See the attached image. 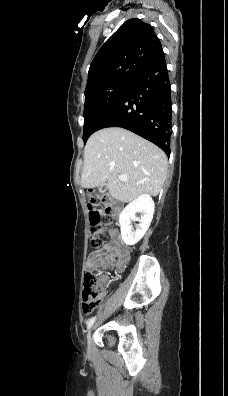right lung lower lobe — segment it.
Segmentation results:
<instances>
[{
  "mask_svg": "<svg viewBox=\"0 0 228 396\" xmlns=\"http://www.w3.org/2000/svg\"><path fill=\"white\" fill-rule=\"evenodd\" d=\"M171 88L163 50L129 85L96 131L122 127L170 154Z\"/></svg>",
  "mask_w": 228,
  "mask_h": 396,
  "instance_id": "1",
  "label": "right lung lower lobe"
}]
</instances>
